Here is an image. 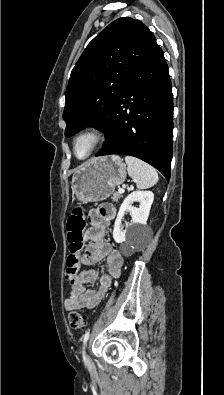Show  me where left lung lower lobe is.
I'll return each instance as SVG.
<instances>
[{"label":"left lung lower lobe","instance_id":"0a47b994","mask_svg":"<svg viewBox=\"0 0 224 395\" xmlns=\"http://www.w3.org/2000/svg\"><path fill=\"white\" fill-rule=\"evenodd\" d=\"M107 139L96 156L126 154L158 169L169 181L173 155L172 85L156 44L134 70L102 129Z\"/></svg>","mask_w":224,"mask_h":395}]
</instances>
